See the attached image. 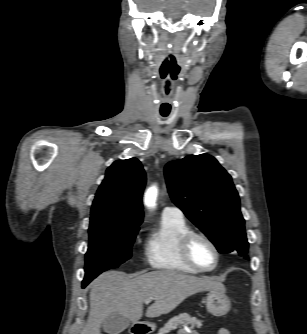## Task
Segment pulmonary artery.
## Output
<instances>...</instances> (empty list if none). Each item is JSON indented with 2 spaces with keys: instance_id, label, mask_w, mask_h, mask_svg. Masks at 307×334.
Here are the masks:
<instances>
[{
  "instance_id": "1",
  "label": "pulmonary artery",
  "mask_w": 307,
  "mask_h": 334,
  "mask_svg": "<svg viewBox=\"0 0 307 334\" xmlns=\"http://www.w3.org/2000/svg\"><path fill=\"white\" fill-rule=\"evenodd\" d=\"M162 216L183 219V212L175 206H167L162 211Z\"/></svg>"
}]
</instances>
